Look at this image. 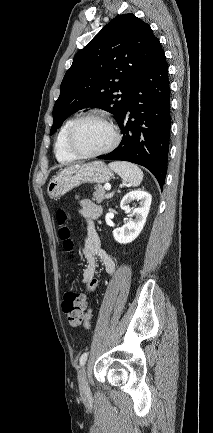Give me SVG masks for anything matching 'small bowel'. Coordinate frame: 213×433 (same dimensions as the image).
Masks as SVG:
<instances>
[{
    "instance_id": "1",
    "label": "small bowel",
    "mask_w": 213,
    "mask_h": 433,
    "mask_svg": "<svg viewBox=\"0 0 213 433\" xmlns=\"http://www.w3.org/2000/svg\"><path fill=\"white\" fill-rule=\"evenodd\" d=\"M101 212L99 205L90 200H82L79 213L86 219V233L83 236V243L80 252L87 260V266L79 284L85 285L89 292H94L98 286L99 280L96 276L97 263L101 262L108 275L115 272V262L101 248L99 236L95 230L93 219L97 218ZM88 320L91 318V310L87 311Z\"/></svg>"
}]
</instances>
